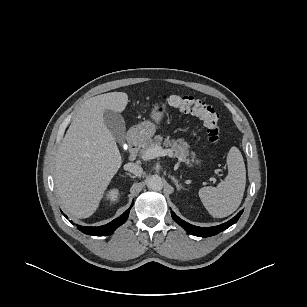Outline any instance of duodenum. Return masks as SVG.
Masks as SVG:
<instances>
[{
  "label": "duodenum",
  "mask_w": 307,
  "mask_h": 307,
  "mask_svg": "<svg viewBox=\"0 0 307 307\" xmlns=\"http://www.w3.org/2000/svg\"><path fill=\"white\" fill-rule=\"evenodd\" d=\"M140 146H141V136L138 133H132L128 139V153L130 161L136 158Z\"/></svg>",
  "instance_id": "duodenum-1"
}]
</instances>
